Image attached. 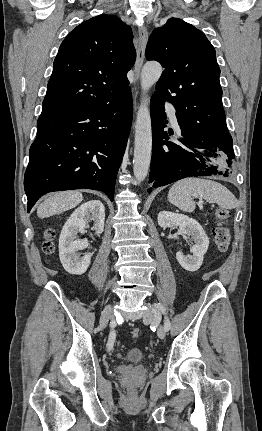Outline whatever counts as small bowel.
Segmentation results:
<instances>
[{
    "instance_id": "1",
    "label": "small bowel",
    "mask_w": 262,
    "mask_h": 431,
    "mask_svg": "<svg viewBox=\"0 0 262 431\" xmlns=\"http://www.w3.org/2000/svg\"><path fill=\"white\" fill-rule=\"evenodd\" d=\"M110 335V334H109ZM116 337V333L114 331H112V337Z\"/></svg>"
}]
</instances>
